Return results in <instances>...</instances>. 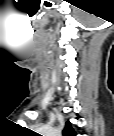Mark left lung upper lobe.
Wrapping results in <instances>:
<instances>
[{"mask_svg": "<svg viewBox=\"0 0 114 136\" xmlns=\"http://www.w3.org/2000/svg\"><path fill=\"white\" fill-rule=\"evenodd\" d=\"M63 133H64L65 136H75L76 135L74 130L70 126L69 121L66 123V127L64 128Z\"/></svg>", "mask_w": 114, "mask_h": 136, "instance_id": "obj_1", "label": "left lung upper lobe"}]
</instances>
